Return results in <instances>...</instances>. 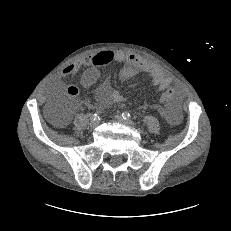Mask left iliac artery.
Here are the masks:
<instances>
[{
	"mask_svg": "<svg viewBox=\"0 0 231 231\" xmlns=\"http://www.w3.org/2000/svg\"><path fill=\"white\" fill-rule=\"evenodd\" d=\"M122 117L125 120H128V121L131 120V115L127 111H125V112L122 113Z\"/></svg>",
	"mask_w": 231,
	"mask_h": 231,
	"instance_id": "44dca946",
	"label": "left iliac artery"
}]
</instances>
